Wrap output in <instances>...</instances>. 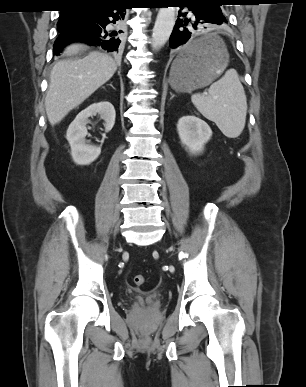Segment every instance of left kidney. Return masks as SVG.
<instances>
[{
    "label": "left kidney",
    "instance_id": "left-kidney-1",
    "mask_svg": "<svg viewBox=\"0 0 306 387\" xmlns=\"http://www.w3.org/2000/svg\"><path fill=\"white\" fill-rule=\"evenodd\" d=\"M177 131L181 142L195 155L204 150V145L212 136L209 125L194 115L181 117L177 123Z\"/></svg>",
    "mask_w": 306,
    "mask_h": 387
}]
</instances>
